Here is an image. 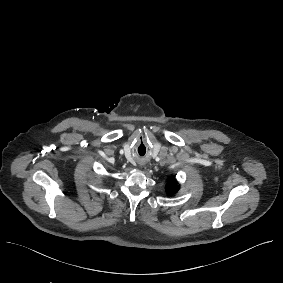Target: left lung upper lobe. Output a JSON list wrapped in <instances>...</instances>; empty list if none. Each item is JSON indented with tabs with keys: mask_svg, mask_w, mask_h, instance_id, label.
Wrapping results in <instances>:
<instances>
[{
	"mask_svg": "<svg viewBox=\"0 0 283 283\" xmlns=\"http://www.w3.org/2000/svg\"><path fill=\"white\" fill-rule=\"evenodd\" d=\"M179 188L180 187H179L178 183L175 180H173V179L169 180L167 182V184H166V192L170 196L174 195L175 193H177Z\"/></svg>",
	"mask_w": 283,
	"mask_h": 283,
	"instance_id": "left-lung-upper-lobe-1",
	"label": "left lung upper lobe"
}]
</instances>
